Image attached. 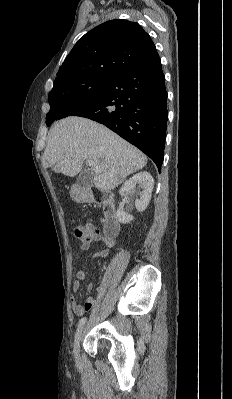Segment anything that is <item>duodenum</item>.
<instances>
[{
	"label": "duodenum",
	"mask_w": 232,
	"mask_h": 399,
	"mask_svg": "<svg viewBox=\"0 0 232 399\" xmlns=\"http://www.w3.org/2000/svg\"><path fill=\"white\" fill-rule=\"evenodd\" d=\"M79 198L84 202L100 204L104 214V234L114 238L119 232V222L116 216L114 197L111 192L100 191L94 187H81L78 190Z\"/></svg>",
	"instance_id": "1"
}]
</instances>
